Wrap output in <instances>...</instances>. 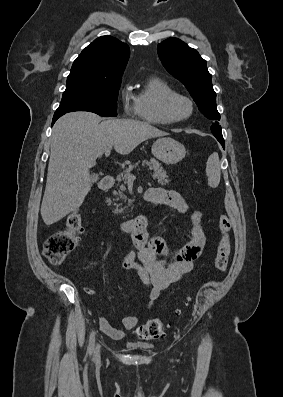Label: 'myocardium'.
Masks as SVG:
<instances>
[{
	"label": "myocardium",
	"instance_id": "f54148a6",
	"mask_svg": "<svg viewBox=\"0 0 283 397\" xmlns=\"http://www.w3.org/2000/svg\"><path fill=\"white\" fill-rule=\"evenodd\" d=\"M184 101L188 107L189 111L183 116H178L174 112V104L176 101ZM194 112V103L190 97L181 93H174L169 95L163 103V114L169 123L183 122L189 119Z\"/></svg>",
	"mask_w": 283,
	"mask_h": 397
}]
</instances>
